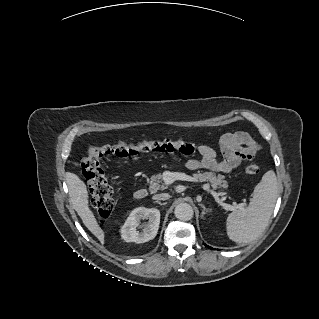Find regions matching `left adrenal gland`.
Wrapping results in <instances>:
<instances>
[{"label": "left adrenal gland", "instance_id": "left-adrenal-gland-1", "mask_svg": "<svg viewBox=\"0 0 319 319\" xmlns=\"http://www.w3.org/2000/svg\"><path fill=\"white\" fill-rule=\"evenodd\" d=\"M199 205L202 207V213H201V215H202V217H204V215L205 214H207V212H208V209L203 205V204H201V203H199Z\"/></svg>", "mask_w": 319, "mask_h": 319}]
</instances>
